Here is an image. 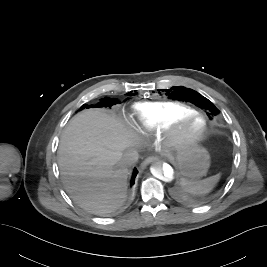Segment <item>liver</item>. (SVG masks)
<instances>
[{
	"instance_id": "obj_1",
	"label": "liver",
	"mask_w": 267,
	"mask_h": 267,
	"mask_svg": "<svg viewBox=\"0 0 267 267\" xmlns=\"http://www.w3.org/2000/svg\"><path fill=\"white\" fill-rule=\"evenodd\" d=\"M133 137L100 109L84 110L70 120L60 140L58 165L66 191L82 208L104 215L123 205L129 175L123 156Z\"/></svg>"
}]
</instances>
